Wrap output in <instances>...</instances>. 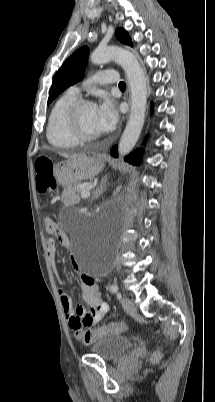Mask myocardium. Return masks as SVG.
I'll list each match as a JSON object with an SVG mask.
<instances>
[{
    "label": "myocardium",
    "mask_w": 215,
    "mask_h": 402,
    "mask_svg": "<svg viewBox=\"0 0 215 402\" xmlns=\"http://www.w3.org/2000/svg\"><path fill=\"white\" fill-rule=\"evenodd\" d=\"M87 105H94L91 100L78 98L67 109L65 122L71 136L78 142H90L96 140L99 134H86L80 125L81 110Z\"/></svg>",
    "instance_id": "myocardium-1"
}]
</instances>
